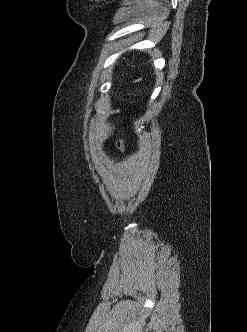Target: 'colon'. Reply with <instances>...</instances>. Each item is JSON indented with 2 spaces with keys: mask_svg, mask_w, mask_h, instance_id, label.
I'll return each instance as SVG.
<instances>
[{
  "mask_svg": "<svg viewBox=\"0 0 247 332\" xmlns=\"http://www.w3.org/2000/svg\"><path fill=\"white\" fill-rule=\"evenodd\" d=\"M116 146L119 150L121 151H124L125 149V144H124V141L123 139H119L117 142H116Z\"/></svg>",
  "mask_w": 247,
  "mask_h": 332,
  "instance_id": "1",
  "label": "colon"
}]
</instances>
